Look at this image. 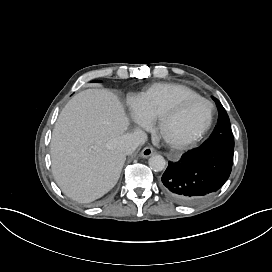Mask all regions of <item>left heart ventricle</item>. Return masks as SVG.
Wrapping results in <instances>:
<instances>
[{
  "instance_id": "obj_1",
  "label": "left heart ventricle",
  "mask_w": 272,
  "mask_h": 272,
  "mask_svg": "<svg viewBox=\"0 0 272 272\" xmlns=\"http://www.w3.org/2000/svg\"><path fill=\"white\" fill-rule=\"evenodd\" d=\"M207 116V106L201 101H193L170 124L175 132L191 133L205 124Z\"/></svg>"
}]
</instances>
